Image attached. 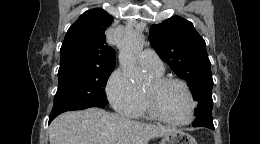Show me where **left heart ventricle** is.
I'll return each instance as SVG.
<instances>
[{
	"mask_svg": "<svg viewBox=\"0 0 260 144\" xmlns=\"http://www.w3.org/2000/svg\"><path fill=\"white\" fill-rule=\"evenodd\" d=\"M146 90L152 89L150 82ZM156 104L161 113L175 121H185L190 115V100L184 89L176 84L168 85L156 93Z\"/></svg>",
	"mask_w": 260,
	"mask_h": 144,
	"instance_id": "obj_1",
	"label": "left heart ventricle"
}]
</instances>
